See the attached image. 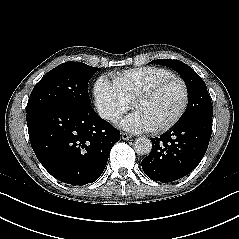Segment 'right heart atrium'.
Wrapping results in <instances>:
<instances>
[{
  "label": "right heart atrium",
  "instance_id": "d8ad5b80",
  "mask_svg": "<svg viewBox=\"0 0 239 239\" xmlns=\"http://www.w3.org/2000/svg\"><path fill=\"white\" fill-rule=\"evenodd\" d=\"M94 105L100 117L117 122L128 110L129 104L106 77L97 79L93 88Z\"/></svg>",
  "mask_w": 239,
  "mask_h": 239
}]
</instances>
